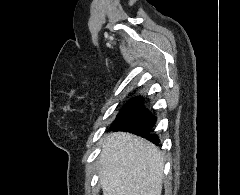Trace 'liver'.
I'll return each instance as SVG.
<instances>
[{"label":"liver","instance_id":"obj_1","mask_svg":"<svg viewBox=\"0 0 240 195\" xmlns=\"http://www.w3.org/2000/svg\"><path fill=\"white\" fill-rule=\"evenodd\" d=\"M102 145L103 195H161L164 157L156 145L126 131L110 133Z\"/></svg>","mask_w":240,"mask_h":195}]
</instances>
